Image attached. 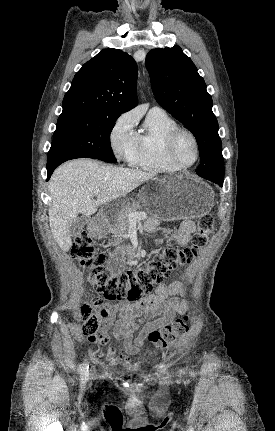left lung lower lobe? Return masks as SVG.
Here are the masks:
<instances>
[{
  "instance_id": "obj_1",
  "label": "left lung lower lobe",
  "mask_w": 275,
  "mask_h": 431,
  "mask_svg": "<svg viewBox=\"0 0 275 431\" xmlns=\"http://www.w3.org/2000/svg\"><path fill=\"white\" fill-rule=\"evenodd\" d=\"M202 177V176H200ZM203 178L210 180L220 186H223L224 177L217 175V174H211V175H203Z\"/></svg>"
}]
</instances>
